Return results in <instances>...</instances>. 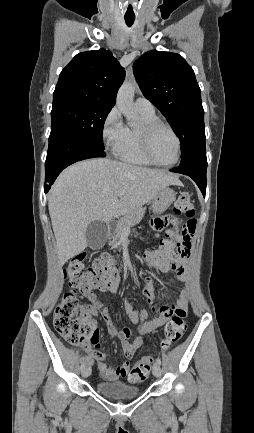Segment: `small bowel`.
I'll return each instance as SVG.
<instances>
[{
  "label": "small bowel",
  "instance_id": "1",
  "mask_svg": "<svg viewBox=\"0 0 254 433\" xmlns=\"http://www.w3.org/2000/svg\"><path fill=\"white\" fill-rule=\"evenodd\" d=\"M167 219L168 217L155 220L154 226L157 228L163 227ZM189 255L169 259L163 263L156 264V266L162 272H168L170 270L175 271L178 278L181 281L186 282L189 276ZM118 286L119 277L117 275L109 283L102 285L98 289L100 291L117 290ZM143 294L147 298V302L149 304L148 308H138L129 299L125 301L124 313L126 317L132 323L139 324L138 335L133 340H130L131 332L127 328L117 330L114 327L106 308L93 306L89 307L90 311L101 313L103 318L106 320L108 330L120 340L122 352L126 358V360L116 368H111L106 363L105 354L101 353L98 350L100 348L99 330L96 323L93 321L94 325L96 326V331L92 343L88 347V355L83 359V361L85 364L87 363L90 365L95 363L98 367L100 376L104 380L116 381L121 378L128 377V379L131 381V360L135 354V351L142 345L143 336L163 326L166 323L174 307L185 308L186 302L184 297H180L172 305H168L158 301L155 296L154 284L151 277H147L145 280ZM84 296L91 301H95L96 299V294L94 291L84 292ZM150 314H154V317L152 319H149Z\"/></svg>",
  "mask_w": 254,
  "mask_h": 433
}]
</instances>
